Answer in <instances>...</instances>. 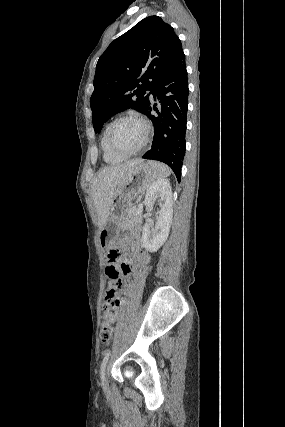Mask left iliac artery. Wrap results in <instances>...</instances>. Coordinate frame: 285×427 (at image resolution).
<instances>
[{"instance_id": "left-iliac-artery-1", "label": "left iliac artery", "mask_w": 285, "mask_h": 427, "mask_svg": "<svg viewBox=\"0 0 285 427\" xmlns=\"http://www.w3.org/2000/svg\"><path fill=\"white\" fill-rule=\"evenodd\" d=\"M110 354H111V351L107 350L104 353V359H103V361L101 363L100 375H101V381H102L103 384L105 382V367H106V363H107V361L109 359Z\"/></svg>"}]
</instances>
